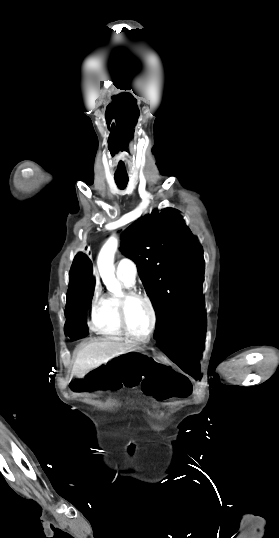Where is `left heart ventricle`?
<instances>
[{"label": "left heart ventricle", "mask_w": 279, "mask_h": 538, "mask_svg": "<svg viewBox=\"0 0 279 538\" xmlns=\"http://www.w3.org/2000/svg\"><path fill=\"white\" fill-rule=\"evenodd\" d=\"M105 210L113 209V207H99ZM98 221L103 218L98 215ZM127 323L132 333L136 335H144L148 332L151 324V313L147 304L142 300L132 301L127 308Z\"/></svg>", "instance_id": "obj_1"}]
</instances>
